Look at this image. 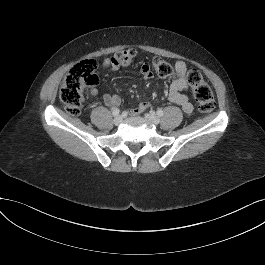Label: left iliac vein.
Masks as SVG:
<instances>
[{"instance_id": "4c4485c4", "label": "left iliac vein", "mask_w": 265, "mask_h": 265, "mask_svg": "<svg viewBox=\"0 0 265 265\" xmlns=\"http://www.w3.org/2000/svg\"><path fill=\"white\" fill-rule=\"evenodd\" d=\"M145 117L147 120H149L153 124H159L160 122V118L154 113H147L145 114Z\"/></svg>"}]
</instances>
